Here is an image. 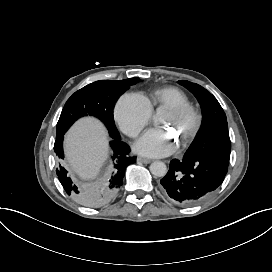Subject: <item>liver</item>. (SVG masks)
<instances>
[{"mask_svg":"<svg viewBox=\"0 0 272 272\" xmlns=\"http://www.w3.org/2000/svg\"><path fill=\"white\" fill-rule=\"evenodd\" d=\"M66 149L70 172L81 178L93 177L108 154L106 133L97 122L83 120L67 135Z\"/></svg>","mask_w":272,"mask_h":272,"instance_id":"1","label":"liver"}]
</instances>
